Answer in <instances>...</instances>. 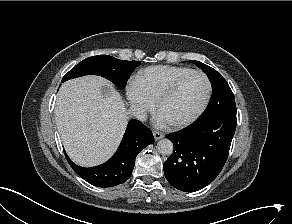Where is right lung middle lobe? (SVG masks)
<instances>
[{
	"label": "right lung middle lobe",
	"instance_id": "obj_1",
	"mask_svg": "<svg viewBox=\"0 0 292 224\" xmlns=\"http://www.w3.org/2000/svg\"><path fill=\"white\" fill-rule=\"evenodd\" d=\"M141 62L123 61L108 55H98L84 59L73 67L62 79V82L84 75H100L120 89L125 88L126 82Z\"/></svg>",
	"mask_w": 292,
	"mask_h": 224
}]
</instances>
